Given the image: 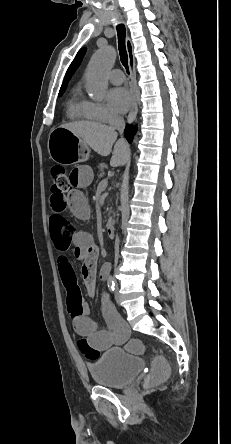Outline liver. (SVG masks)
<instances>
[{
  "instance_id": "liver-1",
  "label": "liver",
  "mask_w": 231,
  "mask_h": 444,
  "mask_svg": "<svg viewBox=\"0 0 231 444\" xmlns=\"http://www.w3.org/2000/svg\"><path fill=\"white\" fill-rule=\"evenodd\" d=\"M81 138L87 146H90L101 156H108L114 145L113 155L110 160L112 167L123 166L129 158V145L124 139L117 140V133L109 126L88 122H71L61 125Z\"/></svg>"
}]
</instances>
